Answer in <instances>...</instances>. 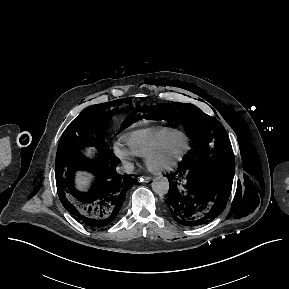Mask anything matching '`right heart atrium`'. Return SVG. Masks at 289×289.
<instances>
[{"label": "right heart atrium", "instance_id": "d8ad5b80", "mask_svg": "<svg viewBox=\"0 0 289 289\" xmlns=\"http://www.w3.org/2000/svg\"><path fill=\"white\" fill-rule=\"evenodd\" d=\"M113 153L126 168H128L134 161V154L130 150L122 147L120 144L114 145Z\"/></svg>", "mask_w": 289, "mask_h": 289}]
</instances>
